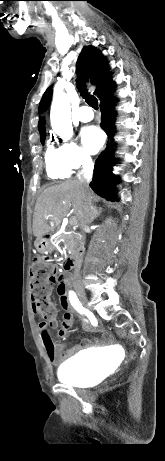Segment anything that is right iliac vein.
Wrapping results in <instances>:
<instances>
[{
    "label": "right iliac vein",
    "instance_id": "63e3f726",
    "mask_svg": "<svg viewBox=\"0 0 165 461\" xmlns=\"http://www.w3.org/2000/svg\"><path fill=\"white\" fill-rule=\"evenodd\" d=\"M77 295L79 297V300L80 302L88 309V310H92L90 305H89V301H88V298L85 294V292L82 290V289H78L77 290Z\"/></svg>",
    "mask_w": 165,
    "mask_h": 461
}]
</instances>
